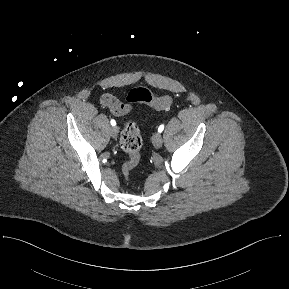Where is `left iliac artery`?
<instances>
[{
    "instance_id": "left-iliac-artery-1",
    "label": "left iliac artery",
    "mask_w": 289,
    "mask_h": 289,
    "mask_svg": "<svg viewBox=\"0 0 289 289\" xmlns=\"http://www.w3.org/2000/svg\"><path fill=\"white\" fill-rule=\"evenodd\" d=\"M164 130V124H161L158 128V132H162Z\"/></svg>"
}]
</instances>
